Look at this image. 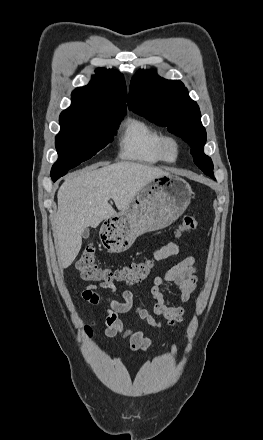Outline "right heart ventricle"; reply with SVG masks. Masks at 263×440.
I'll list each match as a JSON object with an SVG mask.
<instances>
[{"mask_svg": "<svg viewBox=\"0 0 263 440\" xmlns=\"http://www.w3.org/2000/svg\"><path fill=\"white\" fill-rule=\"evenodd\" d=\"M162 133L139 118H128L123 126L118 146L123 159L155 164L164 159L159 150Z\"/></svg>", "mask_w": 263, "mask_h": 440, "instance_id": "right-heart-ventricle-1", "label": "right heart ventricle"}]
</instances>
